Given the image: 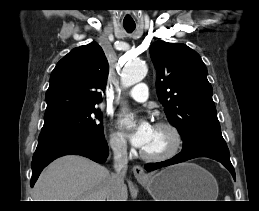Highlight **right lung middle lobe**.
<instances>
[{
	"instance_id": "1",
	"label": "right lung middle lobe",
	"mask_w": 259,
	"mask_h": 211,
	"mask_svg": "<svg viewBox=\"0 0 259 211\" xmlns=\"http://www.w3.org/2000/svg\"><path fill=\"white\" fill-rule=\"evenodd\" d=\"M102 117L103 114L99 109L96 107H90L62 119L44 123L40 134L78 132L91 135H102Z\"/></svg>"
}]
</instances>
